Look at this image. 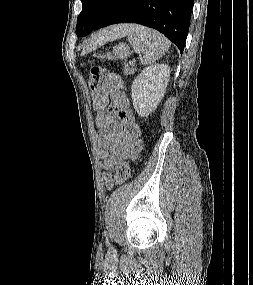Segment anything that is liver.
Returning <instances> with one entry per match:
<instances>
[{"instance_id":"liver-1","label":"liver","mask_w":253,"mask_h":285,"mask_svg":"<svg viewBox=\"0 0 253 285\" xmlns=\"http://www.w3.org/2000/svg\"><path fill=\"white\" fill-rule=\"evenodd\" d=\"M135 25L122 24L113 26L102 30L97 35H94L90 42L83 49V54L95 50L97 47L104 45L107 42L113 41L117 38L125 36L129 31L133 29Z\"/></svg>"}]
</instances>
